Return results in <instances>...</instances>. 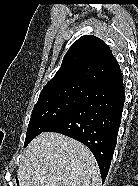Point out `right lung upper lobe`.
Here are the masks:
<instances>
[{
    "instance_id": "cb5924a9",
    "label": "right lung upper lobe",
    "mask_w": 138,
    "mask_h": 186,
    "mask_svg": "<svg viewBox=\"0 0 138 186\" xmlns=\"http://www.w3.org/2000/svg\"><path fill=\"white\" fill-rule=\"evenodd\" d=\"M73 85L92 90L123 85L118 62L101 39L92 35L80 37L67 51L60 69L42 92Z\"/></svg>"
}]
</instances>
